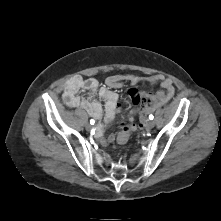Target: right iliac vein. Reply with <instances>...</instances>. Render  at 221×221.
I'll use <instances>...</instances> for the list:
<instances>
[{"instance_id":"obj_1","label":"right iliac vein","mask_w":221,"mask_h":221,"mask_svg":"<svg viewBox=\"0 0 221 221\" xmlns=\"http://www.w3.org/2000/svg\"><path fill=\"white\" fill-rule=\"evenodd\" d=\"M85 128H86V130L90 131L91 128H92V126H91L89 123H87V124L85 125Z\"/></svg>"}]
</instances>
